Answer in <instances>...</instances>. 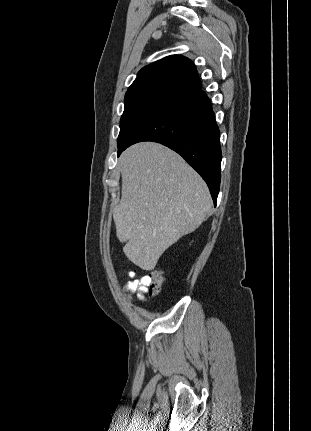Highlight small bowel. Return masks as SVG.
I'll list each match as a JSON object with an SVG mask.
<instances>
[{"label": "small bowel", "mask_w": 311, "mask_h": 431, "mask_svg": "<svg viewBox=\"0 0 311 431\" xmlns=\"http://www.w3.org/2000/svg\"><path fill=\"white\" fill-rule=\"evenodd\" d=\"M131 278L130 281L124 286V290L128 293L129 300L134 302V295H136L139 302L146 301V294L149 291L150 277L143 276L139 279L136 278V273L131 271L128 273Z\"/></svg>", "instance_id": "c3829d8e"}]
</instances>
